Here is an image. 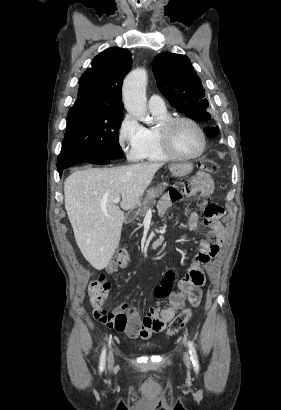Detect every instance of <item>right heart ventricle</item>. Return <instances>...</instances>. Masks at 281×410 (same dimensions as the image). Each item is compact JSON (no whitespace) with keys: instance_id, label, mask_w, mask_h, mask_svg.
Here are the masks:
<instances>
[{"instance_id":"right-heart-ventricle-1","label":"right heart ventricle","mask_w":281,"mask_h":410,"mask_svg":"<svg viewBox=\"0 0 281 410\" xmlns=\"http://www.w3.org/2000/svg\"><path fill=\"white\" fill-rule=\"evenodd\" d=\"M154 115L157 125L145 129L144 144L138 160L153 161V162H166L172 158L164 151L158 138V127L170 114L167 110L158 111L151 110Z\"/></svg>"}]
</instances>
